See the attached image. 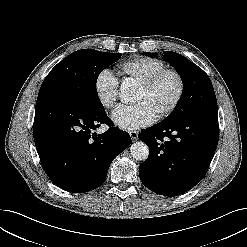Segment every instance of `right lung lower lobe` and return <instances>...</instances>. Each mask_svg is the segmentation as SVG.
<instances>
[{"label": "right lung lower lobe", "instance_id": "obj_1", "mask_svg": "<svg viewBox=\"0 0 247 247\" xmlns=\"http://www.w3.org/2000/svg\"><path fill=\"white\" fill-rule=\"evenodd\" d=\"M102 123L109 129L92 133ZM33 134L48 177L73 193L102 185L112 160L131 143L130 135L113 127L103 108L89 109L60 93L37 98Z\"/></svg>", "mask_w": 247, "mask_h": 247}]
</instances>
